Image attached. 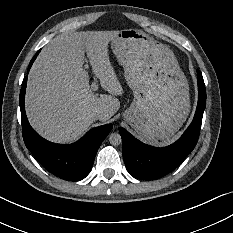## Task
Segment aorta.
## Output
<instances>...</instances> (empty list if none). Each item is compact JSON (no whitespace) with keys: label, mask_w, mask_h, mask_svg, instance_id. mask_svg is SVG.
<instances>
[{"label":"aorta","mask_w":233,"mask_h":233,"mask_svg":"<svg viewBox=\"0 0 233 233\" xmlns=\"http://www.w3.org/2000/svg\"><path fill=\"white\" fill-rule=\"evenodd\" d=\"M122 139L119 133H111L109 135V142L112 145H119L121 143Z\"/></svg>","instance_id":"762f6f07"}]
</instances>
